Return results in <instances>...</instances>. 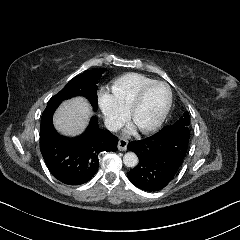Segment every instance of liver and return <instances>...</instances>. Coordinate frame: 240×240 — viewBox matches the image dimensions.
<instances>
[{
    "label": "liver",
    "mask_w": 240,
    "mask_h": 240,
    "mask_svg": "<svg viewBox=\"0 0 240 240\" xmlns=\"http://www.w3.org/2000/svg\"><path fill=\"white\" fill-rule=\"evenodd\" d=\"M94 114L90 101L78 94L60 102L52 114V124L60 136L76 139L85 134Z\"/></svg>",
    "instance_id": "obj_1"
}]
</instances>
